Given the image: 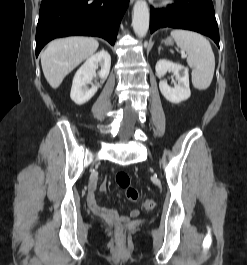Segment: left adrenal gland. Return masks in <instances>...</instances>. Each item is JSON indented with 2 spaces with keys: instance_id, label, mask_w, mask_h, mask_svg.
Returning <instances> with one entry per match:
<instances>
[{
  "instance_id": "obj_1",
  "label": "left adrenal gland",
  "mask_w": 247,
  "mask_h": 265,
  "mask_svg": "<svg viewBox=\"0 0 247 265\" xmlns=\"http://www.w3.org/2000/svg\"><path fill=\"white\" fill-rule=\"evenodd\" d=\"M161 49H162V48H161V46H160V47L158 48V53H160Z\"/></svg>"
}]
</instances>
